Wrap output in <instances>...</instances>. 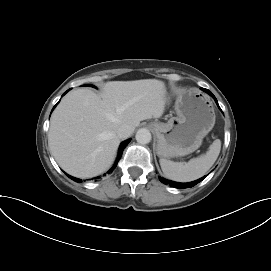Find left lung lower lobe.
I'll list each match as a JSON object with an SVG mask.
<instances>
[{"label": "left lung lower lobe", "mask_w": 271, "mask_h": 271, "mask_svg": "<svg viewBox=\"0 0 271 271\" xmlns=\"http://www.w3.org/2000/svg\"><path fill=\"white\" fill-rule=\"evenodd\" d=\"M202 90H204L205 92H207L208 94H210V95L215 99L216 103L218 104V102H217L215 96H214L209 90H207V89H202ZM205 177H206V176H204V177H202V178H200V179H198V180H195V181H193V182H189V183H178V182H174V181H170V180L163 179V178H161V177H160L159 179H160V181H161L162 183H164V184H169V185L172 186V187L182 188V189H183V188H189V187H192V186L196 185V184L199 183L201 180H203Z\"/></svg>", "instance_id": "0a47b994"}]
</instances>
